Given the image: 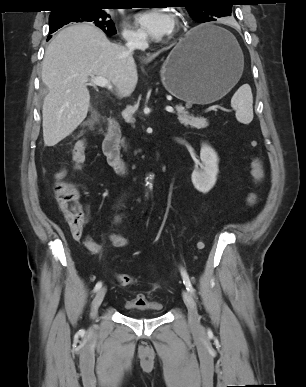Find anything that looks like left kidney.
I'll use <instances>...</instances> for the list:
<instances>
[{"mask_svg":"<svg viewBox=\"0 0 306 387\" xmlns=\"http://www.w3.org/2000/svg\"><path fill=\"white\" fill-rule=\"evenodd\" d=\"M202 164L195 168L191 180L194 187L202 193L209 192L216 183L219 158L216 152L208 145L203 144L200 151Z\"/></svg>","mask_w":306,"mask_h":387,"instance_id":"1","label":"left kidney"}]
</instances>
